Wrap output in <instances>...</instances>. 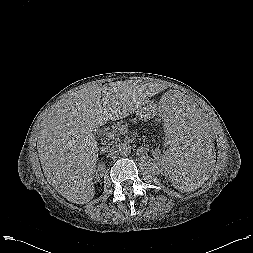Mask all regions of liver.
I'll use <instances>...</instances> for the list:
<instances>
[{"label": "liver", "mask_w": 253, "mask_h": 253, "mask_svg": "<svg viewBox=\"0 0 253 253\" xmlns=\"http://www.w3.org/2000/svg\"><path fill=\"white\" fill-rule=\"evenodd\" d=\"M154 94L147 84L118 81L90 85L58 103L42 120L38 137L39 158L49 184L72 203L91 201L98 161L93 131L109 120L129 116Z\"/></svg>", "instance_id": "obj_1"}]
</instances>
